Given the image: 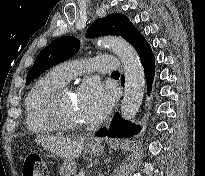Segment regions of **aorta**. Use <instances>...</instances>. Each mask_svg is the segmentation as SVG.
Returning <instances> with one entry per match:
<instances>
[{
  "mask_svg": "<svg viewBox=\"0 0 205 176\" xmlns=\"http://www.w3.org/2000/svg\"><path fill=\"white\" fill-rule=\"evenodd\" d=\"M97 44L111 49L123 64L125 87L121 115L130 120L139 111L144 95L145 77L140 58L135 49L121 37H102L97 40Z\"/></svg>",
  "mask_w": 205,
  "mask_h": 176,
  "instance_id": "aorta-1",
  "label": "aorta"
}]
</instances>
